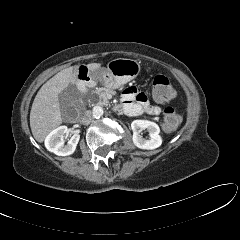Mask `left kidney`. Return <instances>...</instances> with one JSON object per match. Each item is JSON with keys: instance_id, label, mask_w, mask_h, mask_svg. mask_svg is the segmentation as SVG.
Here are the masks:
<instances>
[{"instance_id": "1", "label": "left kidney", "mask_w": 240, "mask_h": 240, "mask_svg": "<svg viewBox=\"0 0 240 240\" xmlns=\"http://www.w3.org/2000/svg\"><path fill=\"white\" fill-rule=\"evenodd\" d=\"M131 129L133 131V143L136 147L153 150L161 146L160 128L156 123L148 120H134L131 123ZM145 129L149 132V139H145L141 135V132Z\"/></svg>"}]
</instances>
